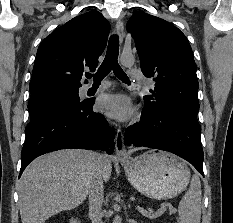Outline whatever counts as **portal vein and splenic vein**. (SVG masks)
<instances>
[{"label":"portal vein and splenic vein","instance_id":"18ae733b","mask_svg":"<svg viewBox=\"0 0 233 223\" xmlns=\"http://www.w3.org/2000/svg\"><path fill=\"white\" fill-rule=\"evenodd\" d=\"M137 209L142 213V215H145V217H159V215H162V211H155V213H151V211H147V209L140 207V205H137Z\"/></svg>","mask_w":233,"mask_h":223}]
</instances>
